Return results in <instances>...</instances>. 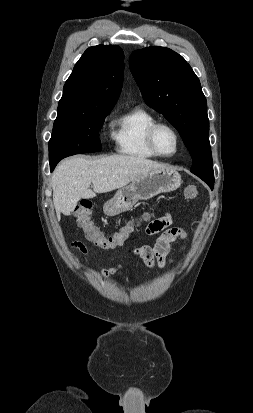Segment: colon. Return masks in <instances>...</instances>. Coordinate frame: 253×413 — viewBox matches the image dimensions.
<instances>
[{"label": "colon", "instance_id": "colon-1", "mask_svg": "<svg viewBox=\"0 0 253 413\" xmlns=\"http://www.w3.org/2000/svg\"><path fill=\"white\" fill-rule=\"evenodd\" d=\"M200 189L195 184L186 187L184 195L188 199H196ZM77 224L85 233L89 242L103 250H112L122 246L136 231L137 223H127L110 236H106L92 221V206L90 203H81L74 209Z\"/></svg>", "mask_w": 253, "mask_h": 413}]
</instances>
